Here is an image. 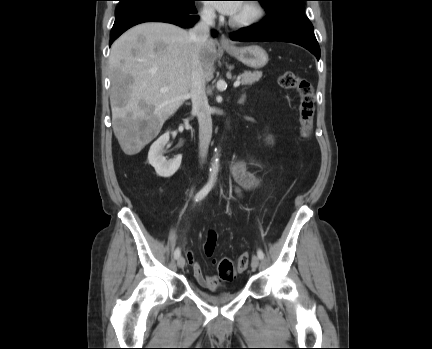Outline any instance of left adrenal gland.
I'll return each mask as SVG.
<instances>
[{
  "instance_id": "a2214340",
  "label": "left adrenal gland",
  "mask_w": 432,
  "mask_h": 349,
  "mask_svg": "<svg viewBox=\"0 0 432 349\" xmlns=\"http://www.w3.org/2000/svg\"><path fill=\"white\" fill-rule=\"evenodd\" d=\"M245 99H246V95H245V94H242L241 97H240V99H239V101H238V103H239V104H243L244 101H245Z\"/></svg>"
}]
</instances>
